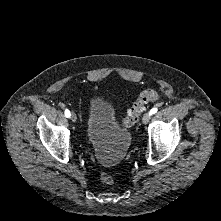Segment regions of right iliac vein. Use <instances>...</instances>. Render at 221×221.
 Segmentation results:
<instances>
[{"label":"right iliac vein","mask_w":221,"mask_h":221,"mask_svg":"<svg viewBox=\"0 0 221 221\" xmlns=\"http://www.w3.org/2000/svg\"><path fill=\"white\" fill-rule=\"evenodd\" d=\"M71 120L75 122L77 120V116L74 112L71 113Z\"/></svg>","instance_id":"obj_1"}]
</instances>
